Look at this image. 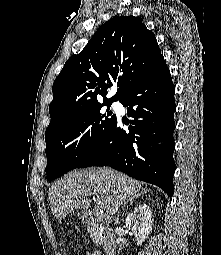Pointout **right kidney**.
Instances as JSON below:
<instances>
[{"instance_id": "obj_1", "label": "right kidney", "mask_w": 221, "mask_h": 255, "mask_svg": "<svg viewBox=\"0 0 221 255\" xmlns=\"http://www.w3.org/2000/svg\"><path fill=\"white\" fill-rule=\"evenodd\" d=\"M125 226L131 230L137 241L141 245L152 230V212L147 204H140L131 211L125 220Z\"/></svg>"}]
</instances>
